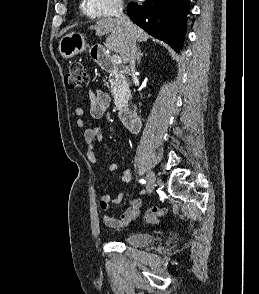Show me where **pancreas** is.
<instances>
[{"label": "pancreas", "instance_id": "pancreas-1", "mask_svg": "<svg viewBox=\"0 0 259 294\" xmlns=\"http://www.w3.org/2000/svg\"><path fill=\"white\" fill-rule=\"evenodd\" d=\"M110 82L115 105L117 107L124 106L130 96L129 84L125 76L121 73H114L113 76L110 77Z\"/></svg>", "mask_w": 259, "mask_h": 294}]
</instances>
